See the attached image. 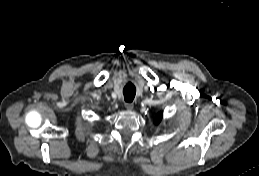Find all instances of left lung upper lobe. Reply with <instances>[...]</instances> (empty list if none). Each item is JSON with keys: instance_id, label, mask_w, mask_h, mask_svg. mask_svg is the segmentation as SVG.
Here are the masks:
<instances>
[{"instance_id": "obj_1", "label": "left lung upper lobe", "mask_w": 259, "mask_h": 176, "mask_svg": "<svg viewBox=\"0 0 259 176\" xmlns=\"http://www.w3.org/2000/svg\"><path fill=\"white\" fill-rule=\"evenodd\" d=\"M161 118H162V113H159L156 118V123H159L161 121Z\"/></svg>"}]
</instances>
